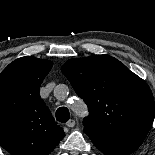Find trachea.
<instances>
[{
    "instance_id": "3493384b",
    "label": "trachea",
    "mask_w": 155,
    "mask_h": 155,
    "mask_svg": "<svg viewBox=\"0 0 155 155\" xmlns=\"http://www.w3.org/2000/svg\"><path fill=\"white\" fill-rule=\"evenodd\" d=\"M70 113L69 110L66 107H60L56 111V119L61 122L65 123L69 120Z\"/></svg>"
}]
</instances>
